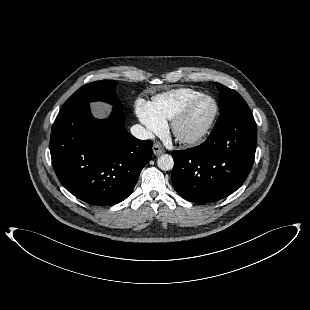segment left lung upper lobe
<instances>
[{"label": "left lung upper lobe", "instance_id": "obj_1", "mask_svg": "<svg viewBox=\"0 0 310 310\" xmlns=\"http://www.w3.org/2000/svg\"><path fill=\"white\" fill-rule=\"evenodd\" d=\"M216 86L219 90V109L221 112L216 124L250 111L247 103L238 92L217 82Z\"/></svg>", "mask_w": 310, "mask_h": 310}]
</instances>
